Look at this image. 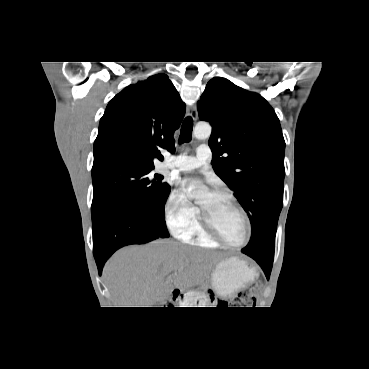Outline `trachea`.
<instances>
[{"label": "trachea", "mask_w": 369, "mask_h": 369, "mask_svg": "<svg viewBox=\"0 0 369 369\" xmlns=\"http://www.w3.org/2000/svg\"><path fill=\"white\" fill-rule=\"evenodd\" d=\"M192 129H193V119L191 117H186L181 127V133L179 137L180 144L188 143L191 141Z\"/></svg>", "instance_id": "3493384b"}]
</instances>
